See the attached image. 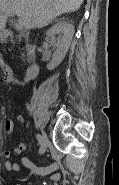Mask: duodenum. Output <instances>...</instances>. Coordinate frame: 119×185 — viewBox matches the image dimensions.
Instances as JSON below:
<instances>
[{
    "instance_id": "1",
    "label": "duodenum",
    "mask_w": 119,
    "mask_h": 185,
    "mask_svg": "<svg viewBox=\"0 0 119 185\" xmlns=\"http://www.w3.org/2000/svg\"><path fill=\"white\" fill-rule=\"evenodd\" d=\"M39 64L36 61H33L30 66L25 71V77L28 80L34 79L39 73Z\"/></svg>"
}]
</instances>
